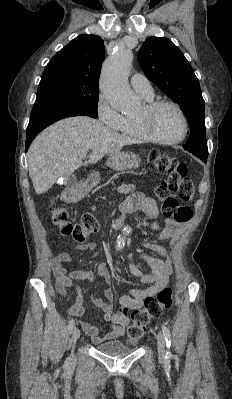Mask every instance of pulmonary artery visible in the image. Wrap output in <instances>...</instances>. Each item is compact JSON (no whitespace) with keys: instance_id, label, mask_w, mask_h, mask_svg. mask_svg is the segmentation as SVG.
<instances>
[{"instance_id":"obj_1","label":"pulmonary artery","mask_w":232,"mask_h":399,"mask_svg":"<svg viewBox=\"0 0 232 399\" xmlns=\"http://www.w3.org/2000/svg\"><path fill=\"white\" fill-rule=\"evenodd\" d=\"M145 79V73H132L130 84H133L134 88H139L136 89V96L153 97L154 84Z\"/></svg>"}]
</instances>
